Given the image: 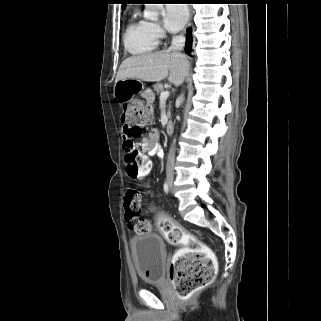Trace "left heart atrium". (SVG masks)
Returning a JSON list of instances; mask_svg holds the SVG:
<instances>
[{
    "instance_id": "39dd6f15",
    "label": "left heart atrium",
    "mask_w": 321,
    "mask_h": 321,
    "mask_svg": "<svg viewBox=\"0 0 321 321\" xmlns=\"http://www.w3.org/2000/svg\"><path fill=\"white\" fill-rule=\"evenodd\" d=\"M164 25L171 32L183 28L188 19V9L183 4H167L163 13Z\"/></svg>"
}]
</instances>
